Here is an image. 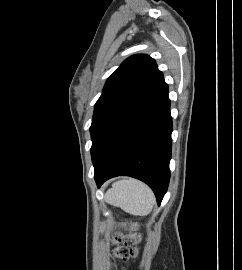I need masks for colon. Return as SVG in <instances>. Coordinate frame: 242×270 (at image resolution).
<instances>
[{"mask_svg":"<svg viewBox=\"0 0 242 270\" xmlns=\"http://www.w3.org/2000/svg\"><path fill=\"white\" fill-rule=\"evenodd\" d=\"M114 241L116 247L112 251L113 256L120 261H125L136 254V245L140 242V236L138 234L115 236Z\"/></svg>","mask_w":242,"mask_h":270,"instance_id":"5ec220e1","label":"colon"}]
</instances>
